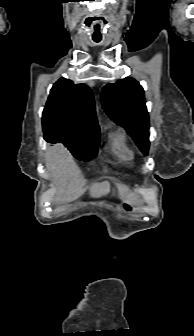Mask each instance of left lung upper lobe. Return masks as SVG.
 Wrapping results in <instances>:
<instances>
[{"mask_svg": "<svg viewBox=\"0 0 194 336\" xmlns=\"http://www.w3.org/2000/svg\"><path fill=\"white\" fill-rule=\"evenodd\" d=\"M102 107L107 115L123 126L143 153L149 147V116L144 90L131 78L107 84L101 95Z\"/></svg>", "mask_w": 194, "mask_h": 336, "instance_id": "1", "label": "left lung upper lobe"}]
</instances>
